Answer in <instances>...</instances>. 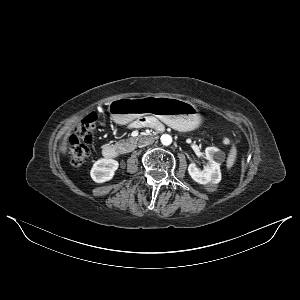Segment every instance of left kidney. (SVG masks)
Wrapping results in <instances>:
<instances>
[{"instance_id":"left-kidney-1","label":"left kidney","mask_w":300,"mask_h":300,"mask_svg":"<svg viewBox=\"0 0 300 300\" xmlns=\"http://www.w3.org/2000/svg\"><path fill=\"white\" fill-rule=\"evenodd\" d=\"M205 155L208 163L204 169L201 171L195 163H190L188 172L191 178L199 184H218L221 180L220 165L224 161V153L216 147H207Z\"/></svg>"}]
</instances>
